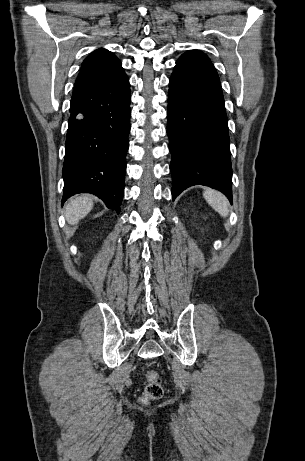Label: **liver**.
Here are the masks:
<instances>
[{"mask_svg": "<svg viewBox=\"0 0 305 461\" xmlns=\"http://www.w3.org/2000/svg\"><path fill=\"white\" fill-rule=\"evenodd\" d=\"M93 208V201L88 195L77 196L65 206V216L71 225L77 224Z\"/></svg>", "mask_w": 305, "mask_h": 461, "instance_id": "liver-1", "label": "liver"}]
</instances>
